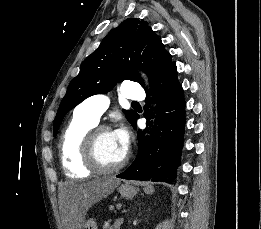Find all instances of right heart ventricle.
Listing matches in <instances>:
<instances>
[{
  "label": "right heart ventricle",
  "mask_w": 261,
  "mask_h": 229,
  "mask_svg": "<svg viewBox=\"0 0 261 229\" xmlns=\"http://www.w3.org/2000/svg\"><path fill=\"white\" fill-rule=\"evenodd\" d=\"M78 105L59 140V156L65 172L72 175H88L92 168L84 158V144L89 133L96 127Z\"/></svg>",
  "instance_id": "1"
}]
</instances>
